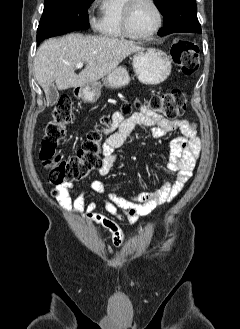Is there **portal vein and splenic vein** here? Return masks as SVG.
Segmentation results:
<instances>
[{
  "mask_svg": "<svg viewBox=\"0 0 240 329\" xmlns=\"http://www.w3.org/2000/svg\"><path fill=\"white\" fill-rule=\"evenodd\" d=\"M83 67V63H78L75 65V68L81 69Z\"/></svg>",
  "mask_w": 240,
  "mask_h": 329,
  "instance_id": "18ae733b",
  "label": "portal vein and splenic vein"
}]
</instances>
